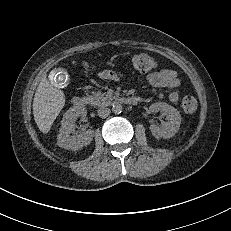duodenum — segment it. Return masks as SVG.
<instances>
[{"label":"duodenum","instance_id":"duodenum-1","mask_svg":"<svg viewBox=\"0 0 231 231\" xmlns=\"http://www.w3.org/2000/svg\"><path fill=\"white\" fill-rule=\"evenodd\" d=\"M120 103L126 104V105H134V104H138L141 102V98L136 97V96H128V97H122L119 99ZM87 100L85 97L83 96H75L72 99V104L76 107V108H82L86 105Z\"/></svg>","mask_w":231,"mask_h":231}]
</instances>
